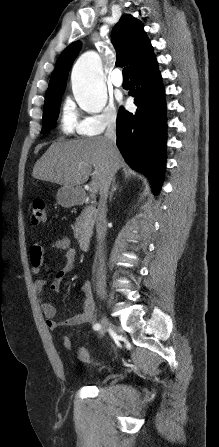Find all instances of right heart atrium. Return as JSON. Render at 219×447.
Returning a JSON list of instances; mask_svg holds the SVG:
<instances>
[{"label": "right heart atrium", "mask_w": 219, "mask_h": 447, "mask_svg": "<svg viewBox=\"0 0 219 447\" xmlns=\"http://www.w3.org/2000/svg\"><path fill=\"white\" fill-rule=\"evenodd\" d=\"M118 121V113L113 105L105 107L101 113L88 116L81 121L84 135H98L114 127Z\"/></svg>", "instance_id": "d8ad5b80"}]
</instances>
